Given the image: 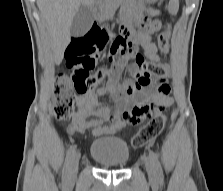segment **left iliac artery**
Listing matches in <instances>:
<instances>
[{"instance_id":"44dca946","label":"left iliac artery","mask_w":223,"mask_h":191,"mask_svg":"<svg viewBox=\"0 0 223 191\" xmlns=\"http://www.w3.org/2000/svg\"><path fill=\"white\" fill-rule=\"evenodd\" d=\"M149 157H150V160L152 161V163L154 165L157 178H158V180L161 183L163 181V172H162L161 164H160V162L158 160V156L156 155L155 152L150 150L149 151Z\"/></svg>"}]
</instances>
